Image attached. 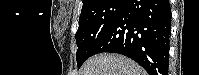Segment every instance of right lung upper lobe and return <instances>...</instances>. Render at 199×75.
<instances>
[{
	"label": "right lung upper lobe",
	"mask_w": 199,
	"mask_h": 75,
	"mask_svg": "<svg viewBox=\"0 0 199 75\" xmlns=\"http://www.w3.org/2000/svg\"><path fill=\"white\" fill-rule=\"evenodd\" d=\"M104 0H83V6L82 9H86L88 7L94 6L98 3H101Z\"/></svg>",
	"instance_id": "right-lung-upper-lobe-1"
}]
</instances>
